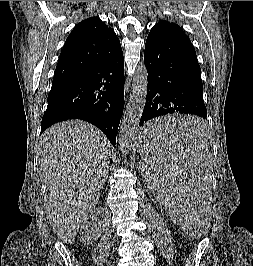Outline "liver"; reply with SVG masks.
<instances>
[{"label":"liver","mask_w":253,"mask_h":266,"mask_svg":"<svg viewBox=\"0 0 253 266\" xmlns=\"http://www.w3.org/2000/svg\"><path fill=\"white\" fill-rule=\"evenodd\" d=\"M39 155L47 218L58 238L71 244L100 198L110 143L92 124L71 120L44 132Z\"/></svg>","instance_id":"1"}]
</instances>
